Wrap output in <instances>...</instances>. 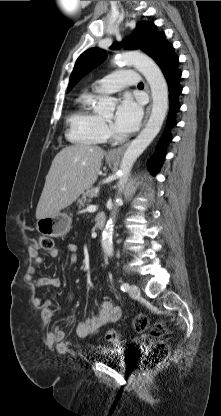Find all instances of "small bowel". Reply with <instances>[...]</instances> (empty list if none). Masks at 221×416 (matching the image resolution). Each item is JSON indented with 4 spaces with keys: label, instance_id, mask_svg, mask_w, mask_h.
<instances>
[{
    "label": "small bowel",
    "instance_id": "1",
    "mask_svg": "<svg viewBox=\"0 0 221 416\" xmlns=\"http://www.w3.org/2000/svg\"><path fill=\"white\" fill-rule=\"evenodd\" d=\"M68 262L70 264H76L78 262V246L75 243H69L67 245ZM50 254L53 257L59 255L58 249H53ZM42 257L39 255L36 249L31 251V265L28 270V277L32 280L37 287H54L57 288L61 285V282L56 277H40L34 279L36 269L42 264ZM72 294H69V299H72ZM35 304L42 309V315L46 320H50L54 315L53 302L50 299H43L41 297L35 298ZM121 316V309L110 300H104L100 304L98 314L90 319L81 321L76 327V333L79 337H87L97 333L108 323L117 321ZM55 339L62 341L65 333L61 329H57L54 332Z\"/></svg>",
    "mask_w": 221,
    "mask_h": 416
}]
</instances>
